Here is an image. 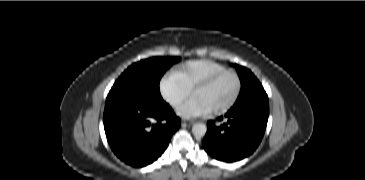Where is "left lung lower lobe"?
Segmentation results:
<instances>
[{
  "mask_svg": "<svg viewBox=\"0 0 365 180\" xmlns=\"http://www.w3.org/2000/svg\"><path fill=\"white\" fill-rule=\"evenodd\" d=\"M268 115L269 102L266 92L238 99L225 114L223 124L208 122L203 147L218 160H241L258 147L266 129ZM219 120H223V117Z\"/></svg>",
  "mask_w": 365,
  "mask_h": 180,
  "instance_id": "obj_1",
  "label": "left lung lower lobe"
}]
</instances>
